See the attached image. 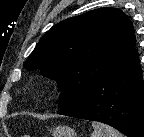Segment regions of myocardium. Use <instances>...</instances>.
I'll return each instance as SVG.
<instances>
[{"instance_id": "myocardium-1", "label": "myocardium", "mask_w": 144, "mask_h": 137, "mask_svg": "<svg viewBox=\"0 0 144 137\" xmlns=\"http://www.w3.org/2000/svg\"><path fill=\"white\" fill-rule=\"evenodd\" d=\"M50 88V83L47 81H41L36 85L38 91H47Z\"/></svg>"}]
</instances>
